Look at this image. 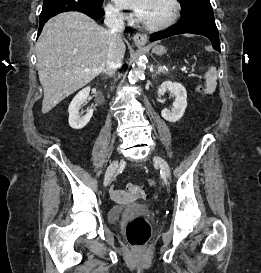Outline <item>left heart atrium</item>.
I'll list each match as a JSON object with an SVG mask.
<instances>
[{
    "mask_svg": "<svg viewBox=\"0 0 261 273\" xmlns=\"http://www.w3.org/2000/svg\"><path fill=\"white\" fill-rule=\"evenodd\" d=\"M116 2L120 6L131 10L137 20L144 22L147 18L152 0H116Z\"/></svg>",
    "mask_w": 261,
    "mask_h": 273,
    "instance_id": "obj_1",
    "label": "left heart atrium"
}]
</instances>
